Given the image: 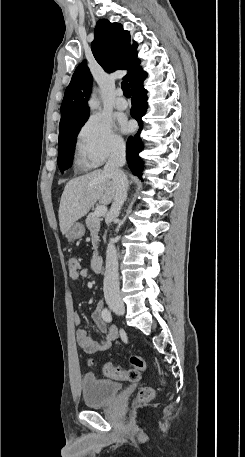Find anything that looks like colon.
Returning <instances> with one entry per match:
<instances>
[{"label": "colon", "instance_id": "obj_1", "mask_svg": "<svg viewBox=\"0 0 245 457\" xmlns=\"http://www.w3.org/2000/svg\"><path fill=\"white\" fill-rule=\"evenodd\" d=\"M67 264L69 272H74L78 270V261L75 257L70 256L67 260ZM129 363L132 368L129 370H124L112 362H107L103 366V372L106 376L114 379L126 380L131 382L138 381L141 377V371H143L146 367V361L143 357L139 355H132L129 358ZM88 364L93 365L94 360L90 359L88 361ZM153 395L154 391L151 387H143L136 397V403H146L153 398Z\"/></svg>", "mask_w": 245, "mask_h": 457}]
</instances>
